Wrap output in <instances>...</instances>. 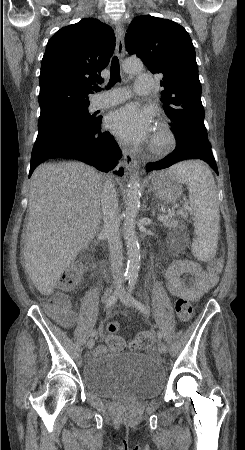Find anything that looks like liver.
Segmentation results:
<instances>
[{"label": "liver", "instance_id": "obj_1", "mask_svg": "<svg viewBox=\"0 0 245 450\" xmlns=\"http://www.w3.org/2000/svg\"><path fill=\"white\" fill-rule=\"evenodd\" d=\"M102 181L80 162L38 166L30 182L25 268L42 295H51L63 273L100 229Z\"/></svg>", "mask_w": 245, "mask_h": 450}]
</instances>
